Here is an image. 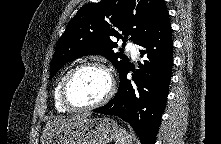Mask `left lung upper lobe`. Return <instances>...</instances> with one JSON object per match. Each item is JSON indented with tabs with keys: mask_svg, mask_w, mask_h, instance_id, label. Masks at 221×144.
I'll list each match as a JSON object with an SVG mask.
<instances>
[{
	"mask_svg": "<svg viewBox=\"0 0 221 144\" xmlns=\"http://www.w3.org/2000/svg\"><path fill=\"white\" fill-rule=\"evenodd\" d=\"M166 13L164 0H101L83 5L57 42L50 79L66 63L93 54L103 55L120 72L129 59L121 51L114 52L116 40L126 42L130 35L139 45Z\"/></svg>",
	"mask_w": 221,
	"mask_h": 144,
	"instance_id": "5c2ea615",
	"label": "left lung upper lobe"
}]
</instances>
